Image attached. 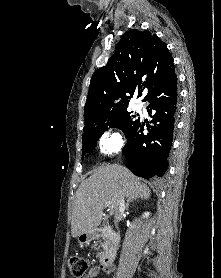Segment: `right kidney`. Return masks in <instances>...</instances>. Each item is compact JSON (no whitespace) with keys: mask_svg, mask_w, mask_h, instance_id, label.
Listing matches in <instances>:
<instances>
[{"mask_svg":"<svg viewBox=\"0 0 221 278\" xmlns=\"http://www.w3.org/2000/svg\"><path fill=\"white\" fill-rule=\"evenodd\" d=\"M149 215V212H146L145 214H144V217H147Z\"/></svg>","mask_w":221,"mask_h":278,"instance_id":"obj_1","label":"right kidney"}]
</instances>
